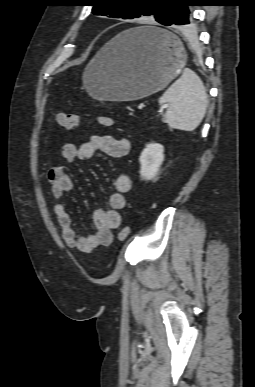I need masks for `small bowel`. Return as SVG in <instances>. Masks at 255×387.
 I'll return each instance as SVG.
<instances>
[{"mask_svg":"<svg viewBox=\"0 0 255 387\" xmlns=\"http://www.w3.org/2000/svg\"><path fill=\"white\" fill-rule=\"evenodd\" d=\"M130 142L126 138L111 135H92L86 142L75 145L67 143L62 146L61 155L68 161L88 160L97 152H102L113 159H121L130 152ZM47 180L52 196L58 201L53 212L61 228L64 242L69 248L82 253H91L99 246H108L113 241V230L121 224L119 211L125 206V194L131 190L132 181L126 174H119L114 180V192L109 197V208H99L93 212L95 232L79 235L73 227L72 219L66 206L61 202L70 192L74 183L71 177L60 167H51L47 171Z\"/></svg>","mask_w":255,"mask_h":387,"instance_id":"c3829d8e","label":"small bowel"}]
</instances>
